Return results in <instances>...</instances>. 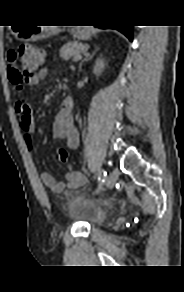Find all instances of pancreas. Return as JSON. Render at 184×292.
<instances>
[{
    "instance_id": "obj_1",
    "label": "pancreas",
    "mask_w": 184,
    "mask_h": 292,
    "mask_svg": "<svg viewBox=\"0 0 184 292\" xmlns=\"http://www.w3.org/2000/svg\"><path fill=\"white\" fill-rule=\"evenodd\" d=\"M87 48L86 44L79 43L76 41L68 42L60 49V57L68 59L72 56L80 55L82 51Z\"/></svg>"
}]
</instances>
